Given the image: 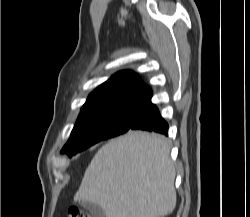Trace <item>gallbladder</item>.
<instances>
[{
    "mask_svg": "<svg viewBox=\"0 0 250 217\" xmlns=\"http://www.w3.org/2000/svg\"><path fill=\"white\" fill-rule=\"evenodd\" d=\"M80 206L87 209L90 212V214L92 215V217H105L104 210L96 204L82 201V202H80Z\"/></svg>",
    "mask_w": 250,
    "mask_h": 217,
    "instance_id": "1",
    "label": "gallbladder"
}]
</instances>
